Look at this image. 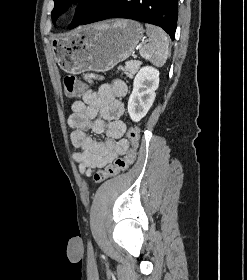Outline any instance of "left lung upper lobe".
<instances>
[{
    "label": "left lung upper lobe",
    "instance_id": "1",
    "mask_svg": "<svg viewBox=\"0 0 247 280\" xmlns=\"http://www.w3.org/2000/svg\"><path fill=\"white\" fill-rule=\"evenodd\" d=\"M106 0H85V3L78 7L74 19L70 25L73 27L78 26L93 10L103 4ZM55 6L52 11V21L55 22L59 15L67 10L68 4L72 0H54Z\"/></svg>",
    "mask_w": 247,
    "mask_h": 280
}]
</instances>
